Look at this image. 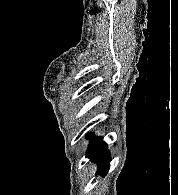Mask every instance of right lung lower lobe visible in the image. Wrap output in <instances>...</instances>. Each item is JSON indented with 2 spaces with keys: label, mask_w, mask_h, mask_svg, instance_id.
Instances as JSON below:
<instances>
[{
  "label": "right lung lower lobe",
  "mask_w": 178,
  "mask_h": 195,
  "mask_svg": "<svg viewBox=\"0 0 178 195\" xmlns=\"http://www.w3.org/2000/svg\"><path fill=\"white\" fill-rule=\"evenodd\" d=\"M106 147L107 145L102 141V138H96L91 141L87 151V157L90 160L99 162V169L96 174L104 177L108 173L109 163L111 161Z\"/></svg>",
  "instance_id": "obj_1"
}]
</instances>
